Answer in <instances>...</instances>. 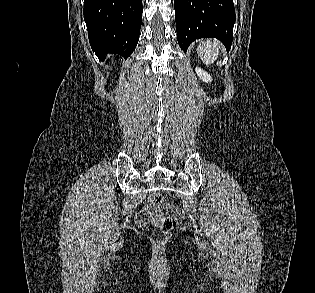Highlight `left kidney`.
Returning <instances> with one entry per match:
<instances>
[{
    "label": "left kidney",
    "instance_id": "5707ae66",
    "mask_svg": "<svg viewBox=\"0 0 315 293\" xmlns=\"http://www.w3.org/2000/svg\"><path fill=\"white\" fill-rule=\"evenodd\" d=\"M195 71L203 82L209 83L212 81V77L210 76V74H208L206 71L202 70L201 68H196Z\"/></svg>",
    "mask_w": 315,
    "mask_h": 293
}]
</instances>
